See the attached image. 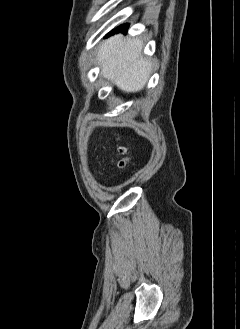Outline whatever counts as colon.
I'll return each mask as SVG.
<instances>
[{
    "mask_svg": "<svg viewBox=\"0 0 240 329\" xmlns=\"http://www.w3.org/2000/svg\"><path fill=\"white\" fill-rule=\"evenodd\" d=\"M118 152L120 154H123L125 150L123 148H118ZM128 163V158L126 157H121L120 159L117 160V166L120 168H124Z\"/></svg>",
    "mask_w": 240,
    "mask_h": 329,
    "instance_id": "5ec220e1",
    "label": "colon"
}]
</instances>
